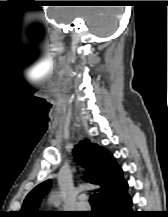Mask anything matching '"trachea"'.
Returning <instances> with one entry per match:
<instances>
[{
  "label": "trachea",
  "instance_id": "trachea-1",
  "mask_svg": "<svg viewBox=\"0 0 168 217\" xmlns=\"http://www.w3.org/2000/svg\"><path fill=\"white\" fill-rule=\"evenodd\" d=\"M89 201H90V204H91L92 206H98L97 194H96V193L92 194V195L90 196Z\"/></svg>",
  "mask_w": 168,
  "mask_h": 217
}]
</instances>
